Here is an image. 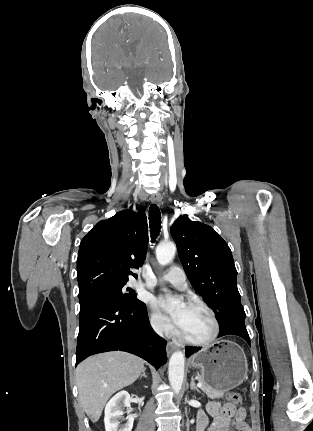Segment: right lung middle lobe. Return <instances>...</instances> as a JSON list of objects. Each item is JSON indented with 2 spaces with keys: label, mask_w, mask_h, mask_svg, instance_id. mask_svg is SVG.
I'll return each instance as SVG.
<instances>
[{
  "label": "right lung middle lobe",
  "mask_w": 313,
  "mask_h": 431,
  "mask_svg": "<svg viewBox=\"0 0 313 431\" xmlns=\"http://www.w3.org/2000/svg\"><path fill=\"white\" fill-rule=\"evenodd\" d=\"M124 286L125 284L104 287L97 291L95 294L112 296L130 305L141 303V301L137 299L136 294L132 291V289L127 288L129 292L125 293Z\"/></svg>",
  "instance_id": "obj_1"
}]
</instances>
